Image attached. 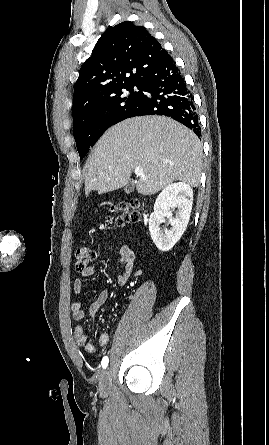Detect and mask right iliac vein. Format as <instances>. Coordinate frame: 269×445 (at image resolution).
<instances>
[{
	"mask_svg": "<svg viewBox=\"0 0 269 445\" xmlns=\"http://www.w3.org/2000/svg\"><path fill=\"white\" fill-rule=\"evenodd\" d=\"M111 384V373L109 368L105 370L100 378L99 390L101 396L105 397L108 395Z\"/></svg>",
	"mask_w": 269,
	"mask_h": 445,
	"instance_id": "1",
	"label": "right iliac vein"
}]
</instances>
